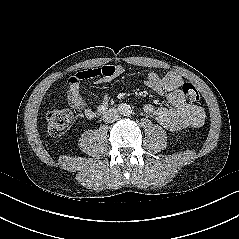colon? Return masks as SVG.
Listing matches in <instances>:
<instances>
[{"label": "colon", "mask_w": 239, "mask_h": 239, "mask_svg": "<svg viewBox=\"0 0 239 239\" xmlns=\"http://www.w3.org/2000/svg\"><path fill=\"white\" fill-rule=\"evenodd\" d=\"M182 93L192 103L200 99L199 91L191 83L182 85ZM74 116V111L71 109L51 110L47 115L49 133L53 136L63 134L73 122Z\"/></svg>", "instance_id": "1"}]
</instances>
